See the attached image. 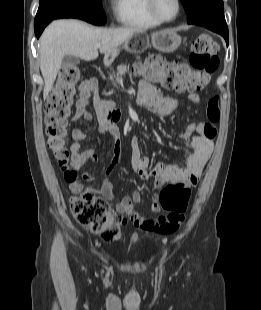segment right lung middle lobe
<instances>
[{
	"label": "right lung middle lobe",
	"instance_id": "dd1d6c3e",
	"mask_svg": "<svg viewBox=\"0 0 261 310\" xmlns=\"http://www.w3.org/2000/svg\"><path fill=\"white\" fill-rule=\"evenodd\" d=\"M57 18H78L94 25L106 22L101 0H40L34 27Z\"/></svg>",
	"mask_w": 261,
	"mask_h": 310
}]
</instances>
